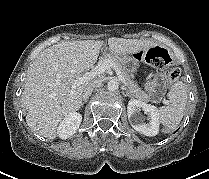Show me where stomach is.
I'll list each match as a JSON object with an SVG mask.
<instances>
[{
	"label": "stomach",
	"mask_w": 209,
	"mask_h": 179,
	"mask_svg": "<svg viewBox=\"0 0 209 179\" xmlns=\"http://www.w3.org/2000/svg\"><path fill=\"white\" fill-rule=\"evenodd\" d=\"M137 54L139 52L122 56V64L129 76H133L138 71L140 59L137 57Z\"/></svg>",
	"instance_id": "0dacf381"
}]
</instances>
